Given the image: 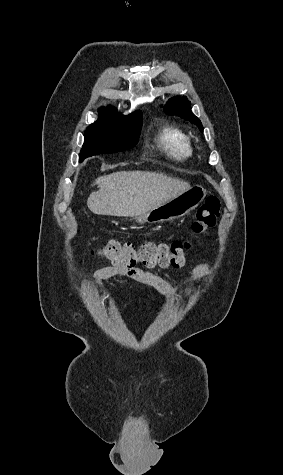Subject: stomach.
Returning <instances> with one entry per match:
<instances>
[{
	"mask_svg": "<svg viewBox=\"0 0 283 475\" xmlns=\"http://www.w3.org/2000/svg\"><path fill=\"white\" fill-rule=\"evenodd\" d=\"M206 196V190L202 186H193L184 194L171 198L168 202H164L161 206L141 214V216H129L131 220H136L138 224H162V222H171L177 220L181 216H185L191 210H195Z\"/></svg>",
	"mask_w": 283,
	"mask_h": 475,
	"instance_id": "1",
	"label": "stomach"
}]
</instances>
